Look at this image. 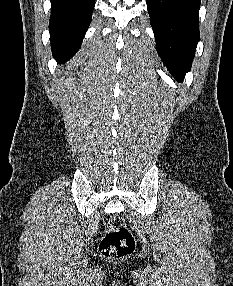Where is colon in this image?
Segmentation results:
<instances>
[{
  "label": "colon",
  "instance_id": "colon-1",
  "mask_svg": "<svg viewBox=\"0 0 233 286\" xmlns=\"http://www.w3.org/2000/svg\"><path fill=\"white\" fill-rule=\"evenodd\" d=\"M135 246L132 232L122 217L111 216L106 224V233L100 243L102 255L108 259H118L130 254Z\"/></svg>",
  "mask_w": 233,
  "mask_h": 286
}]
</instances>
